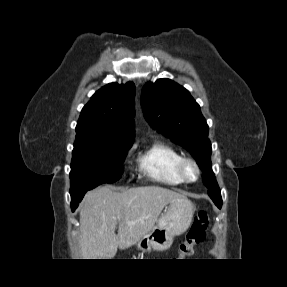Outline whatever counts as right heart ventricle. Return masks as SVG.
I'll return each mask as SVG.
<instances>
[{"instance_id": "right-heart-ventricle-1", "label": "right heart ventricle", "mask_w": 287, "mask_h": 287, "mask_svg": "<svg viewBox=\"0 0 287 287\" xmlns=\"http://www.w3.org/2000/svg\"><path fill=\"white\" fill-rule=\"evenodd\" d=\"M183 155L172 145L155 141L138 156L139 170L150 180L169 186L183 184L178 165Z\"/></svg>"}]
</instances>
